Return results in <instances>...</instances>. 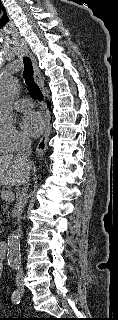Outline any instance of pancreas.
<instances>
[{
	"label": "pancreas",
	"mask_w": 118,
	"mask_h": 320,
	"mask_svg": "<svg viewBox=\"0 0 118 320\" xmlns=\"http://www.w3.org/2000/svg\"><path fill=\"white\" fill-rule=\"evenodd\" d=\"M1 192V191H0ZM7 204H9L8 202H6V209H4V212H6V210H7ZM0 224H1V222H0ZM1 233V232H0Z\"/></svg>",
	"instance_id": "1"
}]
</instances>
